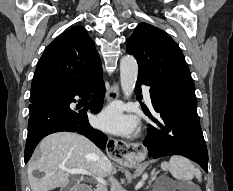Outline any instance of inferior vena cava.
Segmentation results:
<instances>
[{
  "instance_id": "1",
  "label": "inferior vena cava",
  "mask_w": 233,
  "mask_h": 191,
  "mask_svg": "<svg viewBox=\"0 0 233 191\" xmlns=\"http://www.w3.org/2000/svg\"><path fill=\"white\" fill-rule=\"evenodd\" d=\"M99 166L103 172H105L108 175L111 174L112 163L110 162V160H108V158L106 156H102L99 159ZM109 180L111 181V184H112L111 191H123L121 185L119 184V182L115 178L110 176Z\"/></svg>"
}]
</instances>
